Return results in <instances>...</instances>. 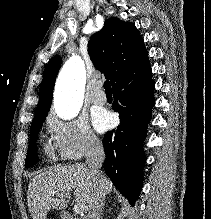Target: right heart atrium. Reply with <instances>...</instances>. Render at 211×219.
Segmentation results:
<instances>
[{"instance_id":"obj_1","label":"right heart atrium","mask_w":211,"mask_h":219,"mask_svg":"<svg viewBox=\"0 0 211 219\" xmlns=\"http://www.w3.org/2000/svg\"><path fill=\"white\" fill-rule=\"evenodd\" d=\"M46 126L57 152L65 160L76 161L101 150L99 138L83 118L64 120L50 114Z\"/></svg>"}]
</instances>
